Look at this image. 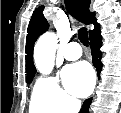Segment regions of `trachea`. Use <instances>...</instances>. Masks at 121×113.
Segmentation results:
<instances>
[{
    "label": "trachea",
    "mask_w": 121,
    "mask_h": 113,
    "mask_svg": "<svg viewBox=\"0 0 121 113\" xmlns=\"http://www.w3.org/2000/svg\"><path fill=\"white\" fill-rule=\"evenodd\" d=\"M78 38L81 41V43H83L85 46H88V32L85 27L79 29Z\"/></svg>",
    "instance_id": "3493384b"
}]
</instances>
